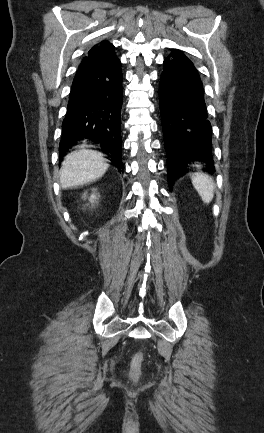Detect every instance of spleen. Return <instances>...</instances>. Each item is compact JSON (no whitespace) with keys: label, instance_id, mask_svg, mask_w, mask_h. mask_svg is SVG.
<instances>
[{"label":"spleen","instance_id":"spleen-1","mask_svg":"<svg viewBox=\"0 0 264 433\" xmlns=\"http://www.w3.org/2000/svg\"><path fill=\"white\" fill-rule=\"evenodd\" d=\"M192 184L204 203H209L214 197L213 180L204 173H194L192 175Z\"/></svg>","mask_w":264,"mask_h":433}]
</instances>
